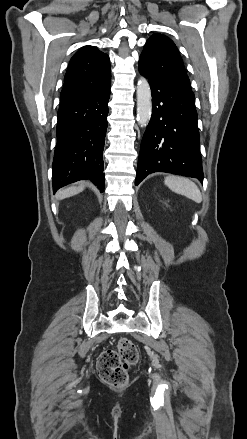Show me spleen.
I'll return each instance as SVG.
<instances>
[{
	"label": "spleen",
	"instance_id": "1",
	"mask_svg": "<svg viewBox=\"0 0 247 439\" xmlns=\"http://www.w3.org/2000/svg\"><path fill=\"white\" fill-rule=\"evenodd\" d=\"M164 183L170 190L177 194L184 195L196 203L202 201V195L199 188L188 178L170 175L165 177Z\"/></svg>",
	"mask_w": 247,
	"mask_h": 439
}]
</instances>
